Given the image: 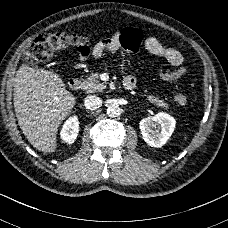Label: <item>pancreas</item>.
Listing matches in <instances>:
<instances>
[{
	"label": "pancreas",
	"mask_w": 228,
	"mask_h": 228,
	"mask_svg": "<svg viewBox=\"0 0 228 228\" xmlns=\"http://www.w3.org/2000/svg\"><path fill=\"white\" fill-rule=\"evenodd\" d=\"M105 89L106 85L100 82L98 73H91L83 85V90L91 93L102 92ZM147 100L149 103H154L157 107L163 108V110L169 109V106L157 97L148 95ZM171 111H176V109H172Z\"/></svg>",
	"instance_id": "cf45deb5"
}]
</instances>
